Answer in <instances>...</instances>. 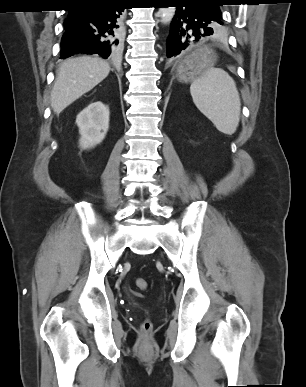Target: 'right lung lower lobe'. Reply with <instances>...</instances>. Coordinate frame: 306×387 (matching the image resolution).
<instances>
[{
	"label": "right lung lower lobe",
	"mask_w": 306,
	"mask_h": 387,
	"mask_svg": "<svg viewBox=\"0 0 306 387\" xmlns=\"http://www.w3.org/2000/svg\"><path fill=\"white\" fill-rule=\"evenodd\" d=\"M125 8L124 0H109L71 9L69 16L74 22L64 27L60 58L78 53L116 57L121 48Z\"/></svg>",
	"instance_id": "right-lung-lower-lobe-1"
}]
</instances>
